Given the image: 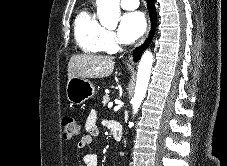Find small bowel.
Listing matches in <instances>:
<instances>
[{"instance_id": "1", "label": "small bowel", "mask_w": 227, "mask_h": 166, "mask_svg": "<svg viewBox=\"0 0 227 166\" xmlns=\"http://www.w3.org/2000/svg\"><path fill=\"white\" fill-rule=\"evenodd\" d=\"M98 120V113L96 110H91L88 114L85 123V134L82 136L77 144L79 149H83L91 145L95 138L99 135V129L96 125ZM98 155L95 153H86L82 160L85 166H97Z\"/></svg>"}]
</instances>
